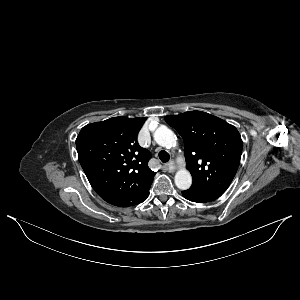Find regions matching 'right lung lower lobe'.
<instances>
[{
    "label": "right lung lower lobe",
    "mask_w": 300,
    "mask_h": 300,
    "mask_svg": "<svg viewBox=\"0 0 300 300\" xmlns=\"http://www.w3.org/2000/svg\"><path fill=\"white\" fill-rule=\"evenodd\" d=\"M150 186L143 191L124 193L122 195L106 200V202L117 207H129L137 205L147 199Z\"/></svg>",
    "instance_id": "98d812e1"
}]
</instances>
